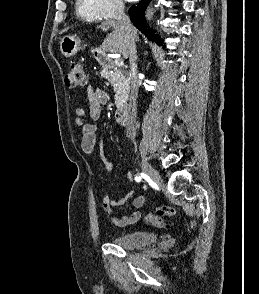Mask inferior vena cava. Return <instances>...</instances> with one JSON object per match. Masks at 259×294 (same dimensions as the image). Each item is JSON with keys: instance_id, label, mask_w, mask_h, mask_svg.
<instances>
[{"instance_id": "602c4592", "label": "inferior vena cava", "mask_w": 259, "mask_h": 294, "mask_svg": "<svg viewBox=\"0 0 259 294\" xmlns=\"http://www.w3.org/2000/svg\"><path fill=\"white\" fill-rule=\"evenodd\" d=\"M115 19L121 30L124 31L127 39L128 54L130 61V84L131 94L129 111L132 118L137 117V97H138V78H137V52L135 44V29L131 24L129 17L124 12V5L122 2L117 3L115 10Z\"/></svg>"}]
</instances>
